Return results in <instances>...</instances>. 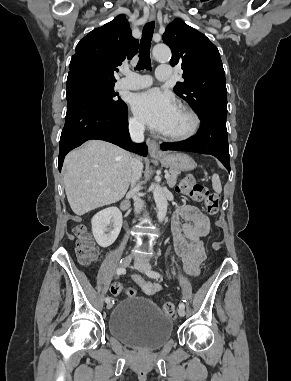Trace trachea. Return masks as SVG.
<instances>
[{"mask_svg":"<svg viewBox=\"0 0 291 381\" xmlns=\"http://www.w3.org/2000/svg\"><path fill=\"white\" fill-rule=\"evenodd\" d=\"M154 31V22L146 23L143 32L142 38L139 46V61L136 66L137 70H150L151 69V60H150V46L151 39Z\"/></svg>","mask_w":291,"mask_h":381,"instance_id":"3493384b","label":"trachea"}]
</instances>
